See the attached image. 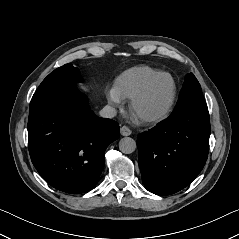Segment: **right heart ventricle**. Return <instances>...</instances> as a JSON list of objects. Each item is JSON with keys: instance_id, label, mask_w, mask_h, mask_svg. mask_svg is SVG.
<instances>
[{"instance_id": "e07e8e85", "label": "right heart ventricle", "mask_w": 239, "mask_h": 239, "mask_svg": "<svg viewBox=\"0 0 239 239\" xmlns=\"http://www.w3.org/2000/svg\"><path fill=\"white\" fill-rule=\"evenodd\" d=\"M157 73V70L147 66L128 69L116 79L115 90L122 98H131Z\"/></svg>"}]
</instances>
